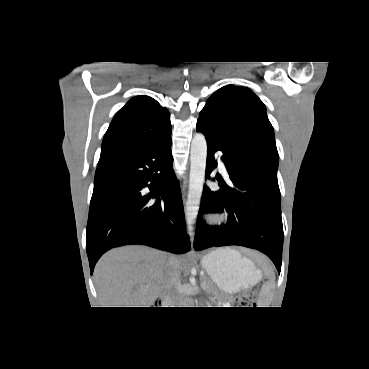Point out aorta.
I'll return each instance as SVG.
<instances>
[{
  "label": "aorta",
  "instance_id": "obj_1",
  "mask_svg": "<svg viewBox=\"0 0 369 369\" xmlns=\"http://www.w3.org/2000/svg\"><path fill=\"white\" fill-rule=\"evenodd\" d=\"M207 159V142L202 133H196L191 143L189 190L186 201V229L192 235L203 191Z\"/></svg>",
  "mask_w": 369,
  "mask_h": 369
}]
</instances>
